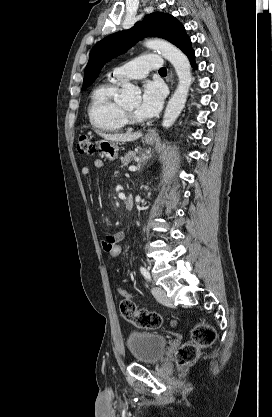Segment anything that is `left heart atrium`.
I'll return each instance as SVG.
<instances>
[{
    "label": "left heart atrium",
    "mask_w": 272,
    "mask_h": 417,
    "mask_svg": "<svg viewBox=\"0 0 272 417\" xmlns=\"http://www.w3.org/2000/svg\"><path fill=\"white\" fill-rule=\"evenodd\" d=\"M163 100V86L158 82H147L143 87L141 101L136 109V114L141 118L155 116L161 110Z\"/></svg>",
    "instance_id": "left-heart-atrium-1"
}]
</instances>
